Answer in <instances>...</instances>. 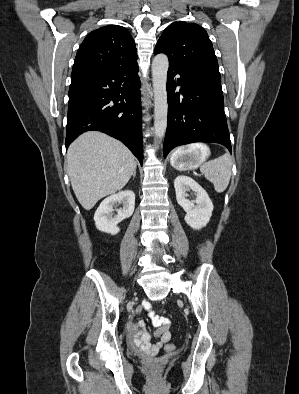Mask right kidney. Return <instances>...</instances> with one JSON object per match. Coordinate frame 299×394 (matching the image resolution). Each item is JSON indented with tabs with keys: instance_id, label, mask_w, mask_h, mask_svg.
Listing matches in <instances>:
<instances>
[{
	"instance_id": "right-kidney-1",
	"label": "right kidney",
	"mask_w": 299,
	"mask_h": 394,
	"mask_svg": "<svg viewBox=\"0 0 299 394\" xmlns=\"http://www.w3.org/2000/svg\"><path fill=\"white\" fill-rule=\"evenodd\" d=\"M122 204L116 216H112L115 204ZM135 208V194L131 190L121 191L104 199L94 214L95 226L99 231L117 234L120 229L117 226L121 221L129 218Z\"/></svg>"
}]
</instances>
